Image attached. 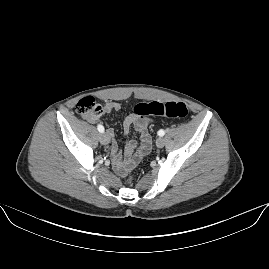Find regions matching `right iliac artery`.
<instances>
[{
    "label": "right iliac artery",
    "mask_w": 269,
    "mask_h": 269,
    "mask_svg": "<svg viewBox=\"0 0 269 269\" xmlns=\"http://www.w3.org/2000/svg\"><path fill=\"white\" fill-rule=\"evenodd\" d=\"M97 128L100 133L104 132V127L102 125H98Z\"/></svg>",
    "instance_id": "1"
}]
</instances>
